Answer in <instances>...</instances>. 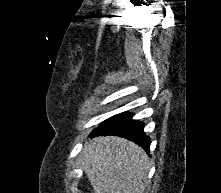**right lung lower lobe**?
<instances>
[{"instance_id":"right-lung-lower-lobe-1","label":"right lung lower lobe","mask_w":221,"mask_h":193,"mask_svg":"<svg viewBox=\"0 0 221 193\" xmlns=\"http://www.w3.org/2000/svg\"><path fill=\"white\" fill-rule=\"evenodd\" d=\"M144 124L132 119L131 113L113 116L91 133V137L99 135H116L129 139L149 152L150 139L143 131Z\"/></svg>"}]
</instances>
